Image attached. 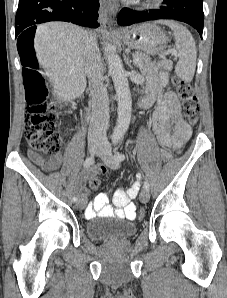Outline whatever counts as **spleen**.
I'll return each mask as SVG.
<instances>
[{"label": "spleen", "instance_id": "spleen-1", "mask_svg": "<svg viewBox=\"0 0 227 298\" xmlns=\"http://www.w3.org/2000/svg\"><path fill=\"white\" fill-rule=\"evenodd\" d=\"M173 30L176 49L179 52V61L175 66L177 76L185 82H191L195 69L197 51L195 41L189 30L178 22L172 20L160 21Z\"/></svg>", "mask_w": 227, "mask_h": 298}]
</instances>
